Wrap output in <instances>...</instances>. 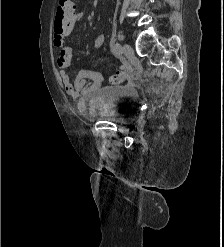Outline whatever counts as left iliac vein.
<instances>
[{"instance_id": "left-iliac-vein-1", "label": "left iliac vein", "mask_w": 224, "mask_h": 247, "mask_svg": "<svg viewBox=\"0 0 224 247\" xmlns=\"http://www.w3.org/2000/svg\"><path fill=\"white\" fill-rule=\"evenodd\" d=\"M122 51L128 59H132L134 57V50L131 45L125 43L122 47Z\"/></svg>"}]
</instances>
